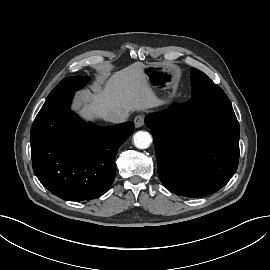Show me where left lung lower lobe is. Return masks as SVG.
I'll return each mask as SVG.
<instances>
[{"instance_id":"left-lung-lower-lobe-1","label":"left lung lower lobe","mask_w":270,"mask_h":270,"mask_svg":"<svg viewBox=\"0 0 270 270\" xmlns=\"http://www.w3.org/2000/svg\"><path fill=\"white\" fill-rule=\"evenodd\" d=\"M152 130L158 174L179 196L215 193L231 179L239 161V124L231 106L204 109L195 90L189 101L153 113Z\"/></svg>"}]
</instances>
